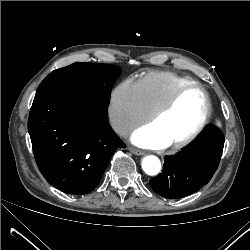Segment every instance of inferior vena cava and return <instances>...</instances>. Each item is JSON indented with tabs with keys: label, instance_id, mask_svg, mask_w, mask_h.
Segmentation results:
<instances>
[{
	"label": "inferior vena cava",
	"instance_id": "obj_1",
	"mask_svg": "<svg viewBox=\"0 0 250 250\" xmlns=\"http://www.w3.org/2000/svg\"><path fill=\"white\" fill-rule=\"evenodd\" d=\"M111 126L113 130L120 135H126L131 130L130 124L122 120H112Z\"/></svg>",
	"mask_w": 250,
	"mask_h": 250
}]
</instances>
